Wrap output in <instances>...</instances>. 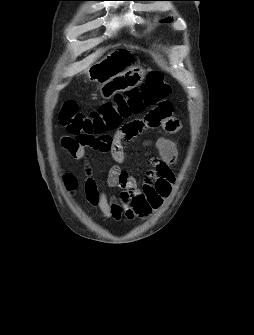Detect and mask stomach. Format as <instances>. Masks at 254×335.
Listing matches in <instances>:
<instances>
[{"mask_svg":"<svg viewBox=\"0 0 254 335\" xmlns=\"http://www.w3.org/2000/svg\"><path fill=\"white\" fill-rule=\"evenodd\" d=\"M129 61L127 52H120L97 63L91 69V78L101 83L100 94L109 99L115 93L139 85L145 77L141 68H128L120 72L121 66Z\"/></svg>","mask_w":254,"mask_h":335,"instance_id":"obj_1","label":"stomach"}]
</instances>
